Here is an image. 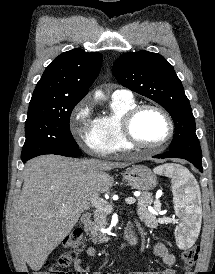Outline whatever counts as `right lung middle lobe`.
Listing matches in <instances>:
<instances>
[{"label": "right lung middle lobe", "instance_id": "1", "mask_svg": "<svg viewBox=\"0 0 215 274\" xmlns=\"http://www.w3.org/2000/svg\"><path fill=\"white\" fill-rule=\"evenodd\" d=\"M77 103L30 102L21 158L78 148L69 128L70 115Z\"/></svg>", "mask_w": 215, "mask_h": 274}]
</instances>
